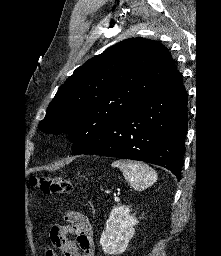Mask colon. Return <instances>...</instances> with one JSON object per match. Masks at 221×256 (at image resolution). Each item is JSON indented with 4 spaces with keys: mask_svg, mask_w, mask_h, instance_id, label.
I'll return each mask as SVG.
<instances>
[{
    "mask_svg": "<svg viewBox=\"0 0 221 256\" xmlns=\"http://www.w3.org/2000/svg\"><path fill=\"white\" fill-rule=\"evenodd\" d=\"M31 185L38 187L46 194H65L72 190L71 181L64 177H33L31 179Z\"/></svg>",
    "mask_w": 221,
    "mask_h": 256,
    "instance_id": "obj_1",
    "label": "colon"
}]
</instances>
